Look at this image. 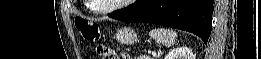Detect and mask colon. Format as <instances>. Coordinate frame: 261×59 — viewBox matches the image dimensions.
Returning a JSON list of instances; mask_svg holds the SVG:
<instances>
[{"label":"colon","instance_id":"colon-1","mask_svg":"<svg viewBox=\"0 0 261 59\" xmlns=\"http://www.w3.org/2000/svg\"><path fill=\"white\" fill-rule=\"evenodd\" d=\"M77 29L81 33L82 37L92 43H97L101 38L100 27L93 21L76 20ZM97 52L102 59H116L117 50L105 45H98ZM123 54V53H122ZM121 54V57H122Z\"/></svg>","mask_w":261,"mask_h":59}]
</instances>
